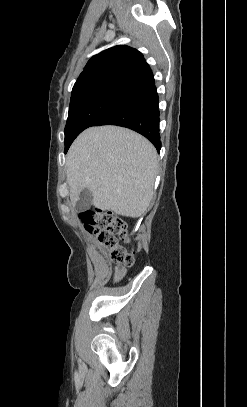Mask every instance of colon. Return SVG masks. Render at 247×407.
I'll use <instances>...</instances> for the list:
<instances>
[{
	"label": "colon",
	"mask_w": 247,
	"mask_h": 407,
	"mask_svg": "<svg viewBox=\"0 0 247 407\" xmlns=\"http://www.w3.org/2000/svg\"><path fill=\"white\" fill-rule=\"evenodd\" d=\"M80 219L88 233L94 235L100 244L111 252L112 260L120 265L131 266L134 253L118 245V240L126 236V224L110 211L87 210Z\"/></svg>",
	"instance_id": "colon-1"
}]
</instances>
